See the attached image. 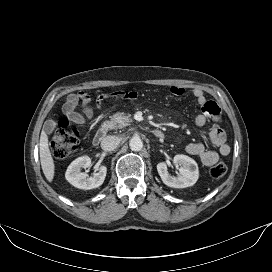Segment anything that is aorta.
<instances>
[{"instance_id":"762f6f07","label":"aorta","mask_w":272,"mask_h":272,"mask_svg":"<svg viewBox=\"0 0 272 272\" xmlns=\"http://www.w3.org/2000/svg\"><path fill=\"white\" fill-rule=\"evenodd\" d=\"M129 146L133 151H140L143 148V142L139 137H132Z\"/></svg>"}]
</instances>
